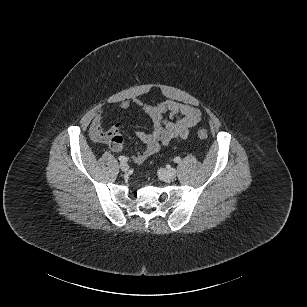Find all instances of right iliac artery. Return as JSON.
<instances>
[{
    "instance_id": "1",
    "label": "right iliac artery",
    "mask_w": 307,
    "mask_h": 307,
    "mask_svg": "<svg viewBox=\"0 0 307 307\" xmlns=\"http://www.w3.org/2000/svg\"><path fill=\"white\" fill-rule=\"evenodd\" d=\"M120 160V162H127V158L125 156H119L118 158Z\"/></svg>"
}]
</instances>
